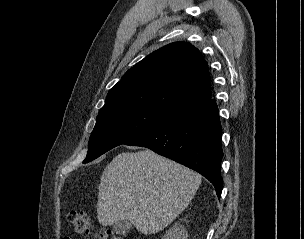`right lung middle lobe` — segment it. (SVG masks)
Listing matches in <instances>:
<instances>
[{
	"label": "right lung middle lobe",
	"mask_w": 304,
	"mask_h": 239,
	"mask_svg": "<svg viewBox=\"0 0 304 239\" xmlns=\"http://www.w3.org/2000/svg\"><path fill=\"white\" fill-rule=\"evenodd\" d=\"M169 117L146 109H119L97 116L84 163L161 125Z\"/></svg>",
	"instance_id": "dd1d6c3e"
}]
</instances>
